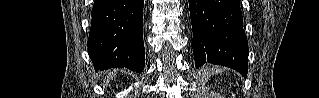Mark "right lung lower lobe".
<instances>
[{"label": "right lung lower lobe", "mask_w": 319, "mask_h": 98, "mask_svg": "<svg viewBox=\"0 0 319 98\" xmlns=\"http://www.w3.org/2000/svg\"><path fill=\"white\" fill-rule=\"evenodd\" d=\"M144 0H95L88 53L94 69H144Z\"/></svg>", "instance_id": "98d812e1"}]
</instances>
